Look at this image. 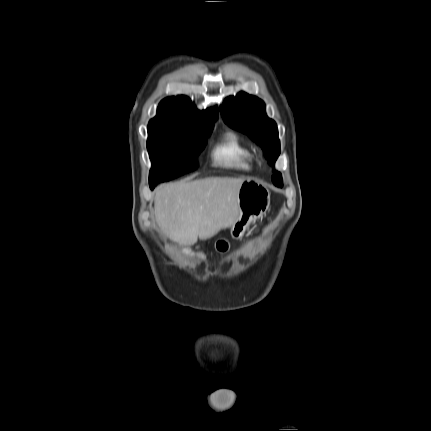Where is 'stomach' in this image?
Wrapping results in <instances>:
<instances>
[{
	"mask_svg": "<svg viewBox=\"0 0 431 431\" xmlns=\"http://www.w3.org/2000/svg\"><path fill=\"white\" fill-rule=\"evenodd\" d=\"M270 206V192L268 188L253 180H245L238 193L239 217L231 226V236L240 239L247 227L263 216ZM218 252H227L230 244L227 240H218L215 243Z\"/></svg>",
	"mask_w": 431,
	"mask_h": 431,
	"instance_id": "obj_1",
	"label": "stomach"
}]
</instances>
